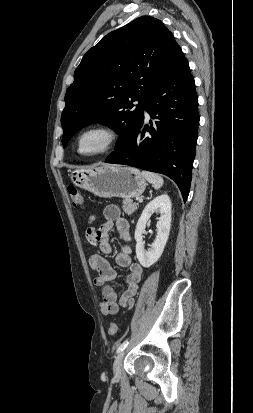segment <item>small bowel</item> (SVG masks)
Here are the masks:
<instances>
[{
  "label": "small bowel",
  "mask_w": 253,
  "mask_h": 413,
  "mask_svg": "<svg viewBox=\"0 0 253 413\" xmlns=\"http://www.w3.org/2000/svg\"><path fill=\"white\" fill-rule=\"evenodd\" d=\"M103 216L104 223L101 226L98 228L90 226L86 229V241L90 245H98L102 254H109L112 250L109 242V232L115 226L121 239L126 242L116 255V263L118 266L129 270L125 278L126 289L118 297L116 290L110 284L116 278V271L109 261L100 253H93L89 258V266L96 273L94 284L102 288L101 311L104 315H113L120 309L128 310L132 307L138 284L143 276V269L139 263L132 261V250L128 244L131 239L129 224L121 216L119 207L116 205L106 206ZM94 219L95 216L91 215L89 221L93 222Z\"/></svg>",
  "instance_id": "small-bowel-1"
}]
</instances>
